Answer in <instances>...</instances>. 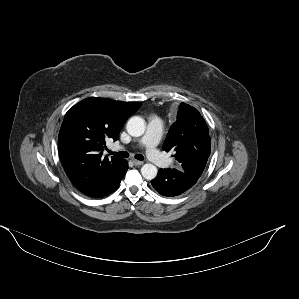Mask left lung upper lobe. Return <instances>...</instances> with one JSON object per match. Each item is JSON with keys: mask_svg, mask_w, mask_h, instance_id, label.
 Instances as JSON below:
<instances>
[{"mask_svg": "<svg viewBox=\"0 0 299 299\" xmlns=\"http://www.w3.org/2000/svg\"><path fill=\"white\" fill-rule=\"evenodd\" d=\"M210 145L209 130L201 114L194 107L181 103L163 149L172 150L178 168L198 180L210 156Z\"/></svg>", "mask_w": 299, "mask_h": 299, "instance_id": "left-lung-upper-lobe-1", "label": "left lung upper lobe"}]
</instances>
